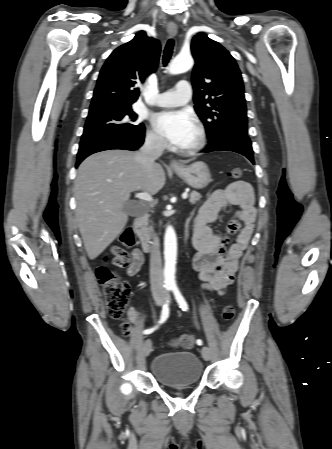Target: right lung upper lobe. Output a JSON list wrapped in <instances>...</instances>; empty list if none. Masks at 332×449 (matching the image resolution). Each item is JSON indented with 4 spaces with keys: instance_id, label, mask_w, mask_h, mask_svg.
Returning <instances> with one entry per match:
<instances>
[{
    "instance_id": "1",
    "label": "right lung upper lobe",
    "mask_w": 332,
    "mask_h": 449,
    "mask_svg": "<svg viewBox=\"0 0 332 449\" xmlns=\"http://www.w3.org/2000/svg\"><path fill=\"white\" fill-rule=\"evenodd\" d=\"M159 56V41L144 31L115 49L100 71L89 112L131 107L140 95L138 86L155 72Z\"/></svg>"
}]
</instances>
